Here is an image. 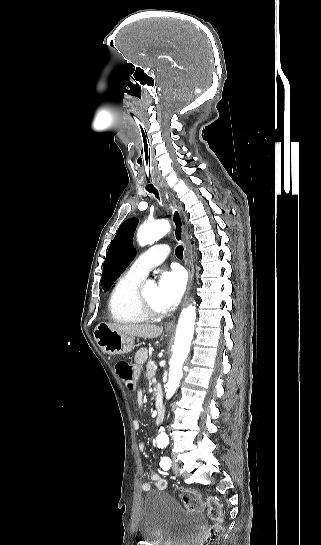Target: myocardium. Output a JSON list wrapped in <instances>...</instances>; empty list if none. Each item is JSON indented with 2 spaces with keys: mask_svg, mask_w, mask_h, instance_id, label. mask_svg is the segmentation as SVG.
Wrapping results in <instances>:
<instances>
[{
  "mask_svg": "<svg viewBox=\"0 0 321 545\" xmlns=\"http://www.w3.org/2000/svg\"><path fill=\"white\" fill-rule=\"evenodd\" d=\"M143 286L139 284L134 291V306L136 310L147 318H157L162 313L148 307L141 298V291Z\"/></svg>",
  "mask_w": 321,
  "mask_h": 545,
  "instance_id": "obj_1",
  "label": "myocardium"
}]
</instances>
